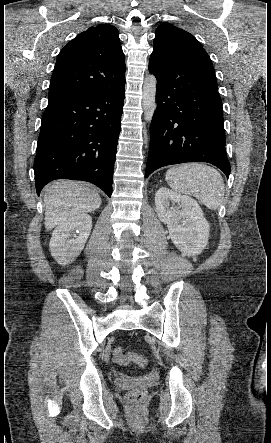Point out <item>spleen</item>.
<instances>
[{
  "instance_id": "obj_1",
  "label": "spleen",
  "mask_w": 271,
  "mask_h": 443,
  "mask_svg": "<svg viewBox=\"0 0 271 443\" xmlns=\"http://www.w3.org/2000/svg\"><path fill=\"white\" fill-rule=\"evenodd\" d=\"M165 180L174 192L194 196L208 210H217L223 202L224 180L211 166L205 164L172 166L167 170Z\"/></svg>"
}]
</instances>
